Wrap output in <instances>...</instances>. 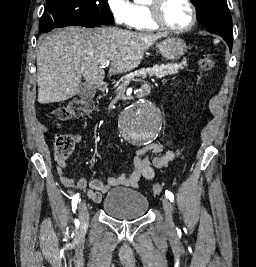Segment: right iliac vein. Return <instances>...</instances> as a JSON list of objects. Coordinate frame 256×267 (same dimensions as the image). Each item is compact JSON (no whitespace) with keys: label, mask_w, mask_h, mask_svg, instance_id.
Returning a JSON list of instances; mask_svg holds the SVG:
<instances>
[{"label":"right iliac vein","mask_w":256,"mask_h":267,"mask_svg":"<svg viewBox=\"0 0 256 267\" xmlns=\"http://www.w3.org/2000/svg\"><path fill=\"white\" fill-rule=\"evenodd\" d=\"M78 212L80 216L81 226L84 227L89 221V212L84 201L79 204Z\"/></svg>","instance_id":"63e3f726"}]
</instances>
